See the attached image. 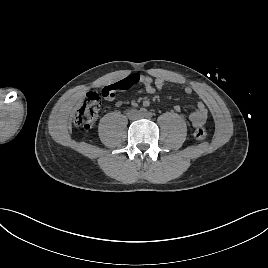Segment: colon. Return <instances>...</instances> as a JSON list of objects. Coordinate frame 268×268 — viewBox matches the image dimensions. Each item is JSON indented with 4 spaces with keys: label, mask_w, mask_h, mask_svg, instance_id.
Returning a JSON list of instances; mask_svg holds the SVG:
<instances>
[{
    "label": "colon",
    "mask_w": 268,
    "mask_h": 268,
    "mask_svg": "<svg viewBox=\"0 0 268 268\" xmlns=\"http://www.w3.org/2000/svg\"><path fill=\"white\" fill-rule=\"evenodd\" d=\"M136 81L132 78H126L120 82L104 87L101 94L97 92H88L84 101L76 108L74 112V123L83 128L90 129L95 124L98 113L101 107V97L105 99H112L122 90H127L134 86ZM194 138L202 141L206 138L207 132L205 128L198 127L194 131Z\"/></svg>",
    "instance_id": "colon-1"
}]
</instances>
